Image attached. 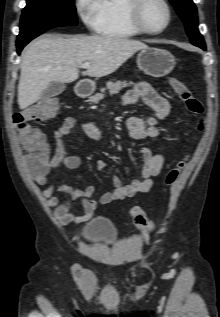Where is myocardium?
<instances>
[{"label":"myocardium","instance_id":"f54148a6","mask_svg":"<svg viewBox=\"0 0 220 317\" xmlns=\"http://www.w3.org/2000/svg\"><path fill=\"white\" fill-rule=\"evenodd\" d=\"M149 0H131L129 4V18L133 26L141 33L145 34H161L170 25L172 21V8L167 0H158L166 9L167 20L165 25L160 29L149 28L143 20V9Z\"/></svg>","mask_w":220,"mask_h":317}]
</instances>
